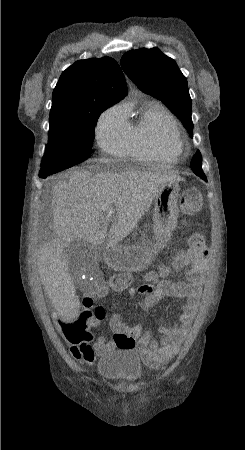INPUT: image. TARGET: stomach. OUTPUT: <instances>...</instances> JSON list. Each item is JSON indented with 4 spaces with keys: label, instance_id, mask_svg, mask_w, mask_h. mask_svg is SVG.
<instances>
[{
    "label": "stomach",
    "instance_id": "1",
    "mask_svg": "<svg viewBox=\"0 0 245 450\" xmlns=\"http://www.w3.org/2000/svg\"><path fill=\"white\" fill-rule=\"evenodd\" d=\"M179 196L180 186L178 181H169L162 184L154 199V245H114L108 247L104 254L106 263L115 270L128 272L141 271L151 265L158 252L166 246L177 224Z\"/></svg>",
    "mask_w": 245,
    "mask_h": 450
}]
</instances>
